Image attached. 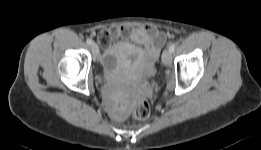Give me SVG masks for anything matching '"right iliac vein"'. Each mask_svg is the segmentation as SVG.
<instances>
[{
  "mask_svg": "<svg viewBox=\"0 0 261 150\" xmlns=\"http://www.w3.org/2000/svg\"><path fill=\"white\" fill-rule=\"evenodd\" d=\"M91 50H92V53L95 57H97L99 55V47L96 43H92L91 44Z\"/></svg>",
  "mask_w": 261,
  "mask_h": 150,
  "instance_id": "1",
  "label": "right iliac vein"
}]
</instances>
